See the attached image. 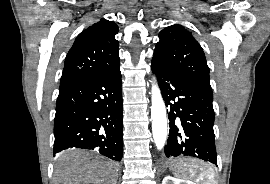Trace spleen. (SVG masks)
<instances>
[{"mask_svg": "<svg viewBox=\"0 0 270 184\" xmlns=\"http://www.w3.org/2000/svg\"><path fill=\"white\" fill-rule=\"evenodd\" d=\"M176 177L182 180H195L198 184H216L215 174L212 168L194 163H187V168L183 174Z\"/></svg>", "mask_w": 270, "mask_h": 184, "instance_id": "obj_1", "label": "spleen"}]
</instances>
